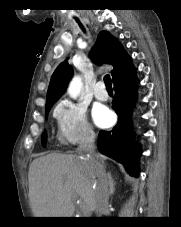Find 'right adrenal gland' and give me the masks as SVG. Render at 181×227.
Instances as JSON below:
<instances>
[{
  "label": "right adrenal gland",
  "instance_id": "obj_1",
  "mask_svg": "<svg viewBox=\"0 0 181 227\" xmlns=\"http://www.w3.org/2000/svg\"><path fill=\"white\" fill-rule=\"evenodd\" d=\"M107 179L109 181L110 187H109V195H113L115 192V182L112 178L111 172L107 173Z\"/></svg>",
  "mask_w": 181,
  "mask_h": 227
}]
</instances>
